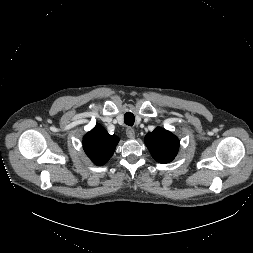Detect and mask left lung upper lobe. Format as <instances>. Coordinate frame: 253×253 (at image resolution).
<instances>
[{"instance_id": "1", "label": "left lung upper lobe", "mask_w": 253, "mask_h": 253, "mask_svg": "<svg viewBox=\"0 0 253 253\" xmlns=\"http://www.w3.org/2000/svg\"><path fill=\"white\" fill-rule=\"evenodd\" d=\"M144 141L152 157L159 163H168L172 161L178 153V138L170 131L160 127L148 133Z\"/></svg>"}]
</instances>
